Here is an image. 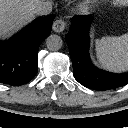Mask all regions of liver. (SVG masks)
<instances>
[{"label": "liver", "instance_id": "liver-1", "mask_svg": "<svg viewBox=\"0 0 128 128\" xmlns=\"http://www.w3.org/2000/svg\"><path fill=\"white\" fill-rule=\"evenodd\" d=\"M41 0H0V36L17 30L34 18Z\"/></svg>", "mask_w": 128, "mask_h": 128}]
</instances>
